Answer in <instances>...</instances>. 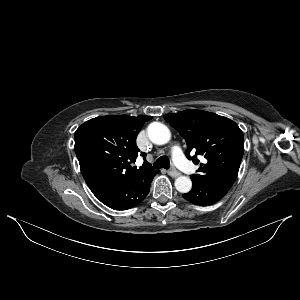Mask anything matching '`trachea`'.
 I'll return each mask as SVG.
<instances>
[{
    "mask_svg": "<svg viewBox=\"0 0 300 300\" xmlns=\"http://www.w3.org/2000/svg\"><path fill=\"white\" fill-rule=\"evenodd\" d=\"M153 168L155 169H160V168H165V169H169L170 168V162H169V158L167 156H161L159 157L154 165Z\"/></svg>",
    "mask_w": 300,
    "mask_h": 300,
    "instance_id": "obj_1",
    "label": "trachea"
}]
</instances>
